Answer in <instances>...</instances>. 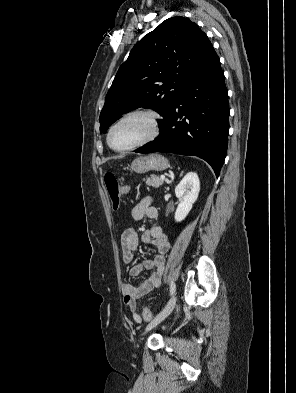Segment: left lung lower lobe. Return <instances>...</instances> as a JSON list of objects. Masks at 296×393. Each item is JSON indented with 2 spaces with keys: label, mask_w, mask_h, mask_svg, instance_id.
I'll use <instances>...</instances> for the list:
<instances>
[{
  "label": "left lung lower lobe",
  "mask_w": 296,
  "mask_h": 393,
  "mask_svg": "<svg viewBox=\"0 0 296 393\" xmlns=\"http://www.w3.org/2000/svg\"><path fill=\"white\" fill-rule=\"evenodd\" d=\"M228 120V91L214 51L176 99L159 136L135 152L197 156L218 177L228 146Z\"/></svg>",
  "instance_id": "obj_1"
}]
</instances>
